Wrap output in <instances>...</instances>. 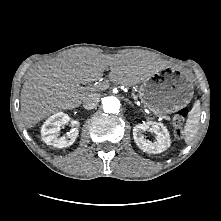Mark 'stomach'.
I'll list each match as a JSON object with an SVG mask.
<instances>
[{"label":"stomach","instance_id":"0dacf381","mask_svg":"<svg viewBox=\"0 0 221 221\" xmlns=\"http://www.w3.org/2000/svg\"><path fill=\"white\" fill-rule=\"evenodd\" d=\"M193 83L183 72H154L139 86L142 103L156 114H170L185 107L193 97Z\"/></svg>","mask_w":221,"mask_h":221}]
</instances>
